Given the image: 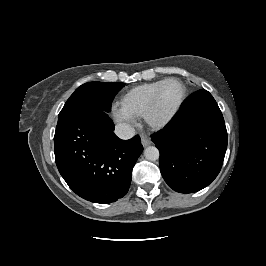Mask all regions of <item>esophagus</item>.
<instances>
[{"label":"esophagus","mask_w":266,"mask_h":266,"mask_svg":"<svg viewBox=\"0 0 266 266\" xmlns=\"http://www.w3.org/2000/svg\"><path fill=\"white\" fill-rule=\"evenodd\" d=\"M141 143H142V145L144 147H146V146H149L152 143V141H151L150 137H148V136H142Z\"/></svg>","instance_id":"esophagus-1"}]
</instances>
